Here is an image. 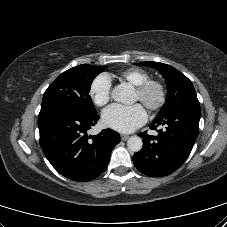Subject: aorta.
<instances>
[{"instance_id": "762f6f07", "label": "aorta", "mask_w": 227, "mask_h": 227, "mask_svg": "<svg viewBox=\"0 0 227 227\" xmlns=\"http://www.w3.org/2000/svg\"><path fill=\"white\" fill-rule=\"evenodd\" d=\"M131 95V89L126 84H120L115 86L112 90V98L121 103H128ZM128 149L132 152H138L142 149L143 142L142 139L138 136H131L127 141Z\"/></svg>"}]
</instances>
